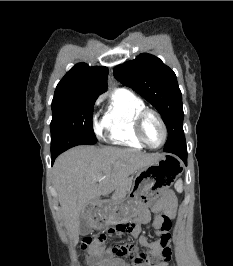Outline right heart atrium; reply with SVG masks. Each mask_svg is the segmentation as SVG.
Returning <instances> with one entry per match:
<instances>
[{"mask_svg":"<svg viewBox=\"0 0 233 266\" xmlns=\"http://www.w3.org/2000/svg\"><path fill=\"white\" fill-rule=\"evenodd\" d=\"M94 129H95V132L97 134H100L101 131H102V129H103V124H100V123L95 122L94 123Z\"/></svg>","mask_w":233,"mask_h":266,"instance_id":"1","label":"right heart atrium"}]
</instances>
